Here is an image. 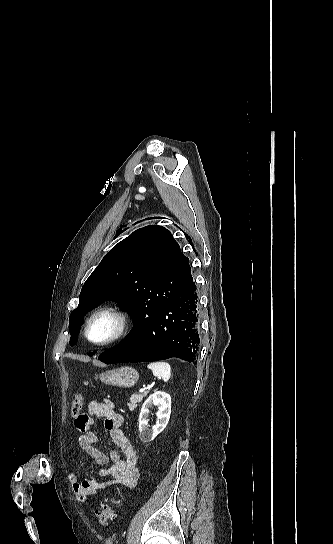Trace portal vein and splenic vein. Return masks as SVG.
<instances>
[{"instance_id":"portal-vein-and-splenic-vein-1","label":"portal vein and splenic vein","mask_w":333,"mask_h":544,"mask_svg":"<svg viewBox=\"0 0 333 544\" xmlns=\"http://www.w3.org/2000/svg\"><path fill=\"white\" fill-rule=\"evenodd\" d=\"M146 389L145 388H141L139 392H144Z\"/></svg>"}]
</instances>
